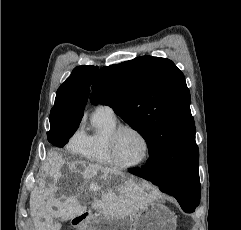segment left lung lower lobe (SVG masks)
I'll return each mask as SVG.
<instances>
[{"instance_id": "obj_1", "label": "left lung lower lobe", "mask_w": 241, "mask_h": 230, "mask_svg": "<svg viewBox=\"0 0 241 230\" xmlns=\"http://www.w3.org/2000/svg\"><path fill=\"white\" fill-rule=\"evenodd\" d=\"M130 173L151 181L161 191L172 194L186 213L194 212L200 203L199 174L193 176L182 189L172 191L168 188L169 162L160 154L152 155L146 162V167L129 170Z\"/></svg>"}]
</instances>
